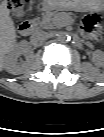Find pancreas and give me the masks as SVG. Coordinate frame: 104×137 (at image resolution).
<instances>
[{
    "mask_svg": "<svg viewBox=\"0 0 104 137\" xmlns=\"http://www.w3.org/2000/svg\"><path fill=\"white\" fill-rule=\"evenodd\" d=\"M66 15L63 13H51L44 16L42 19H37V24L43 28L61 27L66 23ZM36 21V20H35Z\"/></svg>",
    "mask_w": 104,
    "mask_h": 137,
    "instance_id": "1",
    "label": "pancreas"
}]
</instances>
